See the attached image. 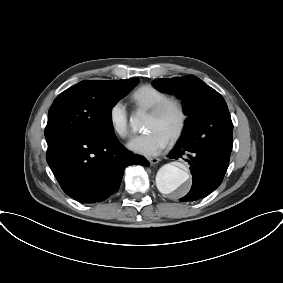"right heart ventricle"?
Instances as JSON below:
<instances>
[{"instance_id":"1","label":"right heart ventricle","mask_w":283,"mask_h":283,"mask_svg":"<svg viewBox=\"0 0 283 283\" xmlns=\"http://www.w3.org/2000/svg\"><path fill=\"white\" fill-rule=\"evenodd\" d=\"M168 96L166 91L146 84L135 89L131 93L130 99L137 110L148 111Z\"/></svg>"}]
</instances>
